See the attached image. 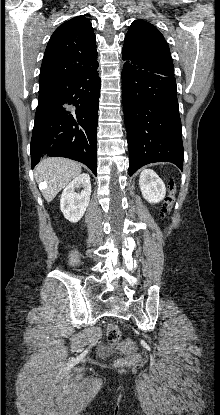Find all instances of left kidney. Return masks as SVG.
I'll return each mask as SVG.
<instances>
[{"instance_id":"5707ae66","label":"left kidney","mask_w":220,"mask_h":415,"mask_svg":"<svg viewBox=\"0 0 220 415\" xmlns=\"http://www.w3.org/2000/svg\"><path fill=\"white\" fill-rule=\"evenodd\" d=\"M139 186L143 197L149 203H159L166 194L163 181L151 169H144L139 177Z\"/></svg>"}]
</instances>
